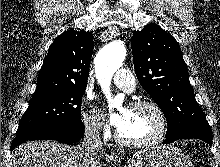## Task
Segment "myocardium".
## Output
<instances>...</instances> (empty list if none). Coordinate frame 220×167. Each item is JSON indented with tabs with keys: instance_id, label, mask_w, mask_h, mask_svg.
Instances as JSON below:
<instances>
[{
	"instance_id": "obj_1",
	"label": "myocardium",
	"mask_w": 220,
	"mask_h": 167,
	"mask_svg": "<svg viewBox=\"0 0 220 167\" xmlns=\"http://www.w3.org/2000/svg\"><path fill=\"white\" fill-rule=\"evenodd\" d=\"M131 108L152 110L156 114L159 121L158 131L148 139L141 141H131L125 139L120 134L119 130H117L115 133L116 142L122 146L129 148H144L156 145L161 142L168 130V121L163 109L158 104L152 101H136L132 104Z\"/></svg>"
}]
</instances>
